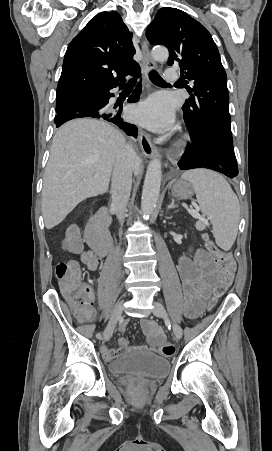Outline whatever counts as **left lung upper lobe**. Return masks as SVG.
Returning a JSON list of instances; mask_svg holds the SVG:
<instances>
[{"instance_id":"1","label":"left lung upper lobe","mask_w":272,"mask_h":451,"mask_svg":"<svg viewBox=\"0 0 272 451\" xmlns=\"http://www.w3.org/2000/svg\"><path fill=\"white\" fill-rule=\"evenodd\" d=\"M146 37L152 45L166 46L168 65L180 66L183 78L194 83L188 90L191 98L183 106L190 136L217 132L232 140L227 76L208 30L185 12L163 7L148 26Z\"/></svg>"}]
</instances>
